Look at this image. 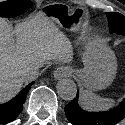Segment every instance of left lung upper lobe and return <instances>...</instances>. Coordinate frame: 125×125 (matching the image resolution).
<instances>
[{"instance_id": "5c2ea615", "label": "left lung upper lobe", "mask_w": 125, "mask_h": 125, "mask_svg": "<svg viewBox=\"0 0 125 125\" xmlns=\"http://www.w3.org/2000/svg\"><path fill=\"white\" fill-rule=\"evenodd\" d=\"M110 32L125 35V17L117 12L107 13Z\"/></svg>"}]
</instances>
